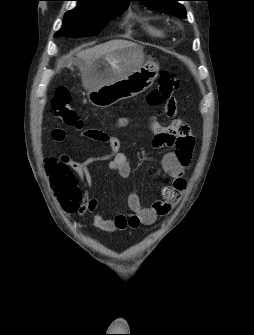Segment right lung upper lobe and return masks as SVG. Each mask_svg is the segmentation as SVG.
<instances>
[{
  "instance_id": "obj_1",
  "label": "right lung upper lobe",
  "mask_w": 254,
  "mask_h": 335,
  "mask_svg": "<svg viewBox=\"0 0 254 335\" xmlns=\"http://www.w3.org/2000/svg\"><path fill=\"white\" fill-rule=\"evenodd\" d=\"M81 3L128 5L131 0H76Z\"/></svg>"
}]
</instances>
